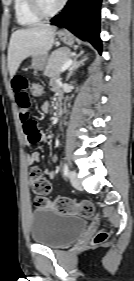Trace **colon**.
I'll return each mask as SVG.
<instances>
[{
  "label": "colon",
  "instance_id": "obj_1",
  "mask_svg": "<svg viewBox=\"0 0 134 281\" xmlns=\"http://www.w3.org/2000/svg\"><path fill=\"white\" fill-rule=\"evenodd\" d=\"M30 94L32 97L38 98L44 94V85L40 81H33L30 84ZM29 181L32 191L38 196L35 198L34 205L37 208H52L57 212L65 214H77L85 218L95 216V208L89 201L76 202L69 198L59 197L54 201H50L44 195L48 194L51 185L46 180L39 168H33L29 174ZM106 232H99L95 237V242L100 243L106 240Z\"/></svg>",
  "mask_w": 134,
  "mask_h": 281
}]
</instances>
